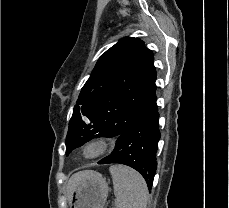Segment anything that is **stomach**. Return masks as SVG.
Here are the masks:
<instances>
[{
  "label": "stomach",
  "instance_id": "obj_1",
  "mask_svg": "<svg viewBox=\"0 0 229 208\" xmlns=\"http://www.w3.org/2000/svg\"><path fill=\"white\" fill-rule=\"evenodd\" d=\"M108 196V184L105 178L96 176L77 184L71 194V208H104Z\"/></svg>",
  "mask_w": 229,
  "mask_h": 208
}]
</instances>
